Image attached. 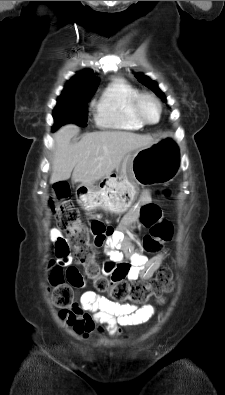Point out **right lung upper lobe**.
<instances>
[{"instance_id":"cb5924a9","label":"right lung upper lobe","mask_w":225,"mask_h":395,"mask_svg":"<svg viewBox=\"0 0 225 395\" xmlns=\"http://www.w3.org/2000/svg\"><path fill=\"white\" fill-rule=\"evenodd\" d=\"M100 79L90 70H85L72 77L63 92L66 93H94Z\"/></svg>"}]
</instances>
